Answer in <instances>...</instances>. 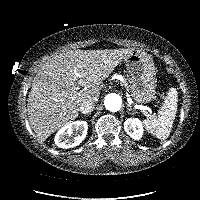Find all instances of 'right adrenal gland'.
<instances>
[{"label":"right adrenal gland","mask_w":200,"mask_h":200,"mask_svg":"<svg viewBox=\"0 0 200 200\" xmlns=\"http://www.w3.org/2000/svg\"><path fill=\"white\" fill-rule=\"evenodd\" d=\"M88 116H89V115H84L83 118H84V117H88Z\"/></svg>","instance_id":"1"}]
</instances>
